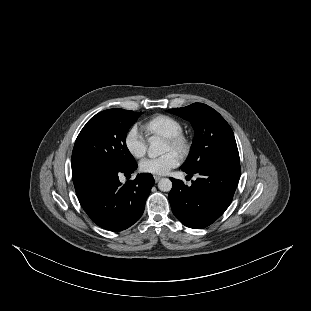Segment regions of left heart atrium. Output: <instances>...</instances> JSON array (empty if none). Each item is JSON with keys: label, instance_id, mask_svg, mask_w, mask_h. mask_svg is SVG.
Returning <instances> with one entry per match:
<instances>
[{"label": "left heart atrium", "instance_id": "obj_1", "mask_svg": "<svg viewBox=\"0 0 311 311\" xmlns=\"http://www.w3.org/2000/svg\"><path fill=\"white\" fill-rule=\"evenodd\" d=\"M180 160L181 158L176 151H169L160 157L142 161L139 169L144 174L166 176L180 164Z\"/></svg>", "mask_w": 311, "mask_h": 311}]
</instances>
